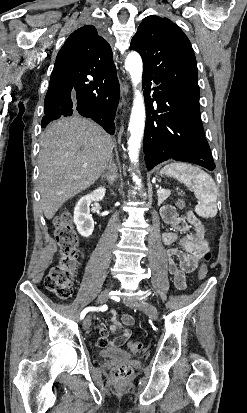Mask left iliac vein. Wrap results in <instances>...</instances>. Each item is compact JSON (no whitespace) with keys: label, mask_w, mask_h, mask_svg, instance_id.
Segmentation results:
<instances>
[{"label":"left iliac vein","mask_w":247,"mask_h":413,"mask_svg":"<svg viewBox=\"0 0 247 413\" xmlns=\"http://www.w3.org/2000/svg\"><path fill=\"white\" fill-rule=\"evenodd\" d=\"M124 303L130 308H133V309L137 308L140 311L147 313L148 316L152 318L153 320L158 319V310L156 309L154 305L150 304L149 302H146L144 300L139 301L137 298H130V299H126Z\"/></svg>","instance_id":"obj_1"}]
</instances>
